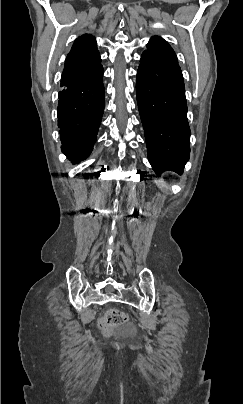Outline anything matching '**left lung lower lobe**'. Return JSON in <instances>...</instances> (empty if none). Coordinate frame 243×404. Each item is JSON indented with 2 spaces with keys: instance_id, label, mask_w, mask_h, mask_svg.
<instances>
[{
  "instance_id": "left-lung-lower-lobe-1",
  "label": "left lung lower lobe",
  "mask_w": 243,
  "mask_h": 404,
  "mask_svg": "<svg viewBox=\"0 0 243 404\" xmlns=\"http://www.w3.org/2000/svg\"><path fill=\"white\" fill-rule=\"evenodd\" d=\"M136 92L152 168L158 175L167 170L182 174L189 160L190 128L179 65L143 53Z\"/></svg>"
}]
</instances>
